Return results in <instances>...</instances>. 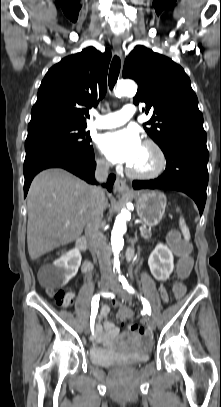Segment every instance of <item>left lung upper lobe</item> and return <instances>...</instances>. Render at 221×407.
Listing matches in <instances>:
<instances>
[{
  "instance_id": "1",
  "label": "left lung upper lobe",
  "mask_w": 221,
  "mask_h": 407,
  "mask_svg": "<svg viewBox=\"0 0 221 407\" xmlns=\"http://www.w3.org/2000/svg\"><path fill=\"white\" fill-rule=\"evenodd\" d=\"M122 75L138 83L133 102L146 104L145 113L152 116L144 129L162 151L179 133L205 132L190 79L170 58L136 46L125 60Z\"/></svg>"
}]
</instances>
